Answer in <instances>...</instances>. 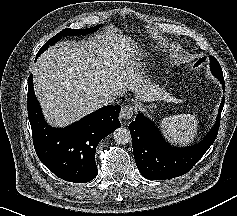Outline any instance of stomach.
<instances>
[{"mask_svg":"<svg viewBox=\"0 0 237 216\" xmlns=\"http://www.w3.org/2000/svg\"><path fill=\"white\" fill-rule=\"evenodd\" d=\"M155 106L154 105H150L147 107V111H149V113H153Z\"/></svg>","mask_w":237,"mask_h":216,"instance_id":"1","label":"stomach"}]
</instances>
